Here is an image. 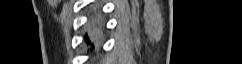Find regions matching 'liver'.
Listing matches in <instances>:
<instances>
[{
    "label": "liver",
    "mask_w": 242,
    "mask_h": 64,
    "mask_svg": "<svg viewBox=\"0 0 242 64\" xmlns=\"http://www.w3.org/2000/svg\"><path fill=\"white\" fill-rule=\"evenodd\" d=\"M90 37L93 39H97L99 35V31L97 29H90L89 30Z\"/></svg>",
    "instance_id": "liver-1"
}]
</instances>
